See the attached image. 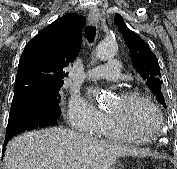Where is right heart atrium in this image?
<instances>
[{
  "label": "right heart atrium",
  "mask_w": 177,
  "mask_h": 169,
  "mask_svg": "<svg viewBox=\"0 0 177 169\" xmlns=\"http://www.w3.org/2000/svg\"><path fill=\"white\" fill-rule=\"evenodd\" d=\"M67 117L69 123L76 130L85 133H92L95 129L101 127L107 118L102 112L76 94L71 97L69 102Z\"/></svg>",
  "instance_id": "d8ad5b80"
}]
</instances>
